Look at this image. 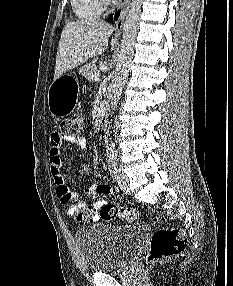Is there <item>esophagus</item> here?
I'll use <instances>...</instances> for the list:
<instances>
[{
	"label": "esophagus",
	"mask_w": 233,
	"mask_h": 286,
	"mask_svg": "<svg viewBox=\"0 0 233 286\" xmlns=\"http://www.w3.org/2000/svg\"><path fill=\"white\" fill-rule=\"evenodd\" d=\"M131 0H124L120 14L115 22V33L120 35L123 29L124 19L129 10Z\"/></svg>",
	"instance_id": "esophagus-1"
}]
</instances>
